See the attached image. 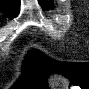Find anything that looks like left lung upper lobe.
<instances>
[{
  "label": "left lung upper lobe",
  "mask_w": 89,
  "mask_h": 89,
  "mask_svg": "<svg viewBox=\"0 0 89 89\" xmlns=\"http://www.w3.org/2000/svg\"><path fill=\"white\" fill-rule=\"evenodd\" d=\"M39 4L44 8V9H49L53 4L52 2H48V0H38Z\"/></svg>",
  "instance_id": "5c2ea615"
}]
</instances>
